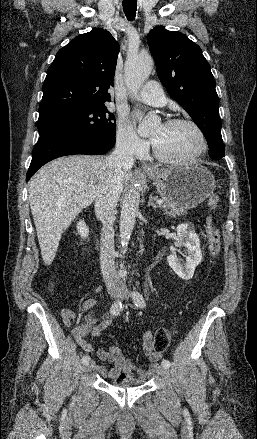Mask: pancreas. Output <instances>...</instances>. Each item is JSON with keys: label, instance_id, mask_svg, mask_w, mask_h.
I'll return each mask as SVG.
<instances>
[{"label": "pancreas", "instance_id": "pancreas-1", "mask_svg": "<svg viewBox=\"0 0 257 439\" xmlns=\"http://www.w3.org/2000/svg\"><path fill=\"white\" fill-rule=\"evenodd\" d=\"M160 208H162L166 214L170 216L187 214V211L184 208L178 207L177 204L172 203L169 200H165L164 204H162Z\"/></svg>", "mask_w": 257, "mask_h": 439}]
</instances>
